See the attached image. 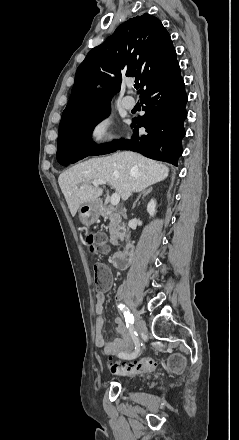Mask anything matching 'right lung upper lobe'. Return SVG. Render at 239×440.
<instances>
[{
	"mask_svg": "<svg viewBox=\"0 0 239 440\" xmlns=\"http://www.w3.org/2000/svg\"><path fill=\"white\" fill-rule=\"evenodd\" d=\"M176 57L170 35L159 19L147 13L129 19L103 44L91 49L77 68L60 123L110 105L125 77L140 79L142 93L177 64Z\"/></svg>",
	"mask_w": 239,
	"mask_h": 440,
	"instance_id": "right-lung-upper-lobe-1",
	"label": "right lung upper lobe"
}]
</instances>
